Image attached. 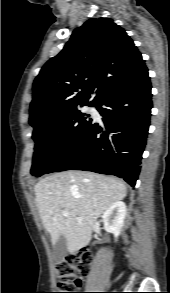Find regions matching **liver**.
<instances>
[{"mask_svg": "<svg viewBox=\"0 0 170 293\" xmlns=\"http://www.w3.org/2000/svg\"><path fill=\"white\" fill-rule=\"evenodd\" d=\"M35 201L54 245L60 236L75 254L89 244L96 220L126 197L125 184L116 178L86 171H65L41 179L34 187ZM69 215L65 217L62 212Z\"/></svg>", "mask_w": 170, "mask_h": 293, "instance_id": "6515ba94", "label": "liver"}]
</instances>
